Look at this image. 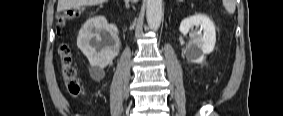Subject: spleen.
<instances>
[{
	"label": "spleen",
	"instance_id": "1",
	"mask_svg": "<svg viewBox=\"0 0 283 116\" xmlns=\"http://www.w3.org/2000/svg\"><path fill=\"white\" fill-rule=\"evenodd\" d=\"M223 5L229 14H233L235 12V0H223Z\"/></svg>",
	"mask_w": 283,
	"mask_h": 116
}]
</instances>
